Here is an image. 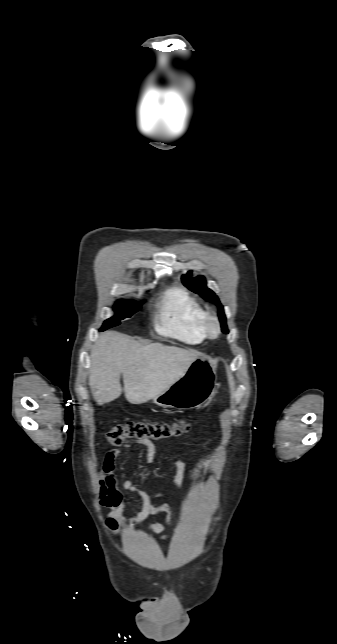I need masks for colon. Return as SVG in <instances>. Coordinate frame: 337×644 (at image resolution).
Returning <instances> with one entry per match:
<instances>
[{"label":"colon","instance_id":"1","mask_svg":"<svg viewBox=\"0 0 337 644\" xmlns=\"http://www.w3.org/2000/svg\"><path fill=\"white\" fill-rule=\"evenodd\" d=\"M191 427L188 418L173 423H147L140 421H125L112 427L107 433V441L113 445H121L128 438L162 440L179 436Z\"/></svg>","mask_w":337,"mask_h":644}]
</instances>
